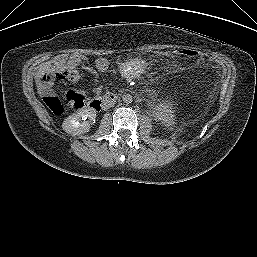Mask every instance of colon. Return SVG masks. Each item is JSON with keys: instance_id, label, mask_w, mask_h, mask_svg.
I'll list each match as a JSON object with an SVG mask.
<instances>
[{"instance_id": "colon-1", "label": "colon", "mask_w": 257, "mask_h": 257, "mask_svg": "<svg viewBox=\"0 0 257 257\" xmlns=\"http://www.w3.org/2000/svg\"><path fill=\"white\" fill-rule=\"evenodd\" d=\"M178 52L180 55L188 59H197L200 56L198 51L190 48L180 49ZM43 80L45 82H51L53 78L50 76H44ZM44 101L47 107L55 115H62L65 111V106L74 110L81 109L84 106L85 94L82 91L70 90L66 93L63 101L53 95L44 97Z\"/></svg>"}]
</instances>
